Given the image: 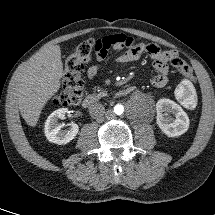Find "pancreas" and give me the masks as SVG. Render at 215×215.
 Here are the masks:
<instances>
[{
	"label": "pancreas",
	"instance_id": "pancreas-1",
	"mask_svg": "<svg viewBox=\"0 0 215 215\" xmlns=\"http://www.w3.org/2000/svg\"><path fill=\"white\" fill-rule=\"evenodd\" d=\"M98 91V96L99 97H103V96H106L107 95V93H106V90H104V89H102V88H98V89H96V87L94 88V91Z\"/></svg>",
	"mask_w": 215,
	"mask_h": 215
}]
</instances>
